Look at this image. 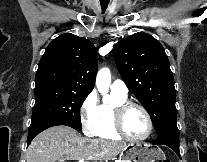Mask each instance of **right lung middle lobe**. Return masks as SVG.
<instances>
[{
	"label": "right lung middle lobe",
	"instance_id": "right-lung-middle-lobe-1",
	"mask_svg": "<svg viewBox=\"0 0 207 162\" xmlns=\"http://www.w3.org/2000/svg\"><path fill=\"white\" fill-rule=\"evenodd\" d=\"M87 95L88 93L53 86L35 88L32 122L55 119L81 130L80 108Z\"/></svg>",
	"mask_w": 207,
	"mask_h": 162
}]
</instances>
